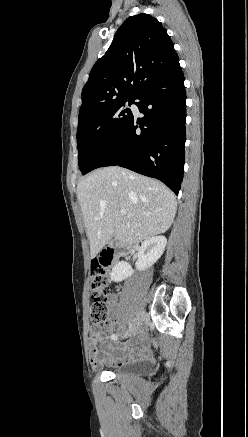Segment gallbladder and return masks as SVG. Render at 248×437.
I'll list each match as a JSON object with an SVG mask.
<instances>
[{
  "label": "gallbladder",
  "instance_id": "1",
  "mask_svg": "<svg viewBox=\"0 0 248 437\" xmlns=\"http://www.w3.org/2000/svg\"><path fill=\"white\" fill-rule=\"evenodd\" d=\"M110 243H111V244H114V243H115V238H114V237L111 239Z\"/></svg>",
  "mask_w": 248,
  "mask_h": 437
}]
</instances>
